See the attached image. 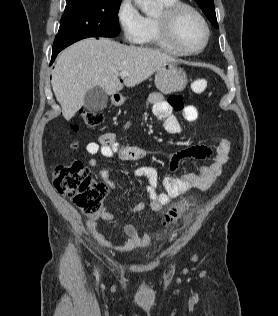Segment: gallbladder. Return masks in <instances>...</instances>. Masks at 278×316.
I'll return each mask as SVG.
<instances>
[{
    "instance_id": "bac80fb5",
    "label": "gallbladder",
    "mask_w": 278,
    "mask_h": 316,
    "mask_svg": "<svg viewBox=\"0 0 278 316\" xmlns=\"http://www.w3.org/2000/svg\"><path fill=\"white\" fill-rule=\"evenodd\" d=\"M108 95L100 87L95 86L88 90L84 97V107L91 112H99L106 108Z\"/></svg>"
}]
</instances>
